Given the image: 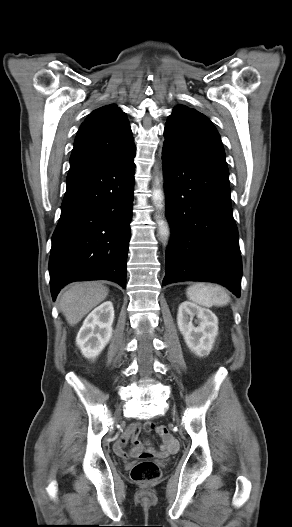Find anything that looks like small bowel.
<instances>
[{
  "label": "small bowel",
  "instance_id": "obj_1",
  "mask_svg": "<svg viewBox=\"0 0 292 527\" xmlns=\"http://www.w3.org/2000/svg\"><path fill=\"white\" fill-rule=\"evenodd\" d=\"M142 428L144 429V427H141L139 424H131L130 426L127 427L125 432L121 435L120 439L114 445V450L117 455H119L122 458H126L127 453L125 452L124 447L128 441H131L133 443V448H132L133 456L145 457V459L148 461H152L155 459L156 451L150 447L145 449L137 439V436ZM154 429L158 431V433L162 437V443L159 447V451L157 454L158 459L161 461H164L166 459L172 460L174 458V452L178 448L177 441L168 433V428L166 426H161L160 424H156L154 426ZM149 430H146V431H149Z\"/></svg>",
  "mask_w": 292,
  "mask_h": 527
}]
</instances>
